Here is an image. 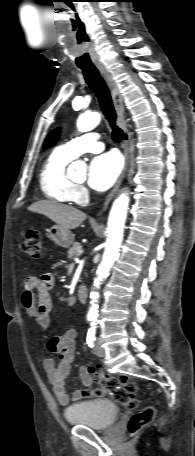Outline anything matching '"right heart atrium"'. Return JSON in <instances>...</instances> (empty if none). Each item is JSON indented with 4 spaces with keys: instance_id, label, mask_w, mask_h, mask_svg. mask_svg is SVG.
Here are the masks:
<instances>
[{
    "instance_id": "right-heart-atrium-1",
    "label": "right heart atrium",
    "mask_w": 195,
    "mask_h": 456,
    "mask_svg": "<svg viewBox=\"0 0 195 456\" xmlns=\"http://www.w3.org/2000/svg\"><path fill=\"white\" fill-rule=\"evenodd\" d=\"M74 195H75V201L78 203L86 202L87 196H88L87 190L81 185L75 186Z\"/></svg>"
}]
</instances>
